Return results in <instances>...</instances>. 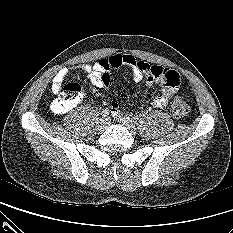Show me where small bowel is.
Masks as SVG:
<instances>
[{"mask_svg": "<svg viewBox=\"0 0 233 233\" xmlns=\"http://www.w3.org/2000/svg\"><path fill=\"white\" fill-rule=\"evenodd\" d=\"M127 65L132 69L133 78L139 82L145 80L149 87L159 84L161 94L152 102L155 108H163L167 106L170 100L176 95L180 86V76L175 70L163 68L159 65H150L144 61H139L129 54H115L100 59L94 64H84L80 69L87 74L92 85L98 88H106L110 84L111 71ZM69 68H61L54 75L52 80V91L59 93L64 80L70 74ZM113 115L120 113V105L113 103L111 106Z\"/></svg>", "mask_w": 233, "mask_h": 233, "instance_id": "small-bowel-1", "label": "small bowel"}]
</instances>
